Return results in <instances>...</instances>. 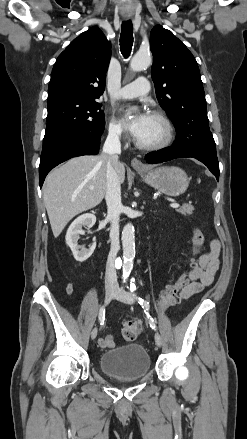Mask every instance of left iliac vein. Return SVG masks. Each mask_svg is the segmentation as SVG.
<instances>
[{"label":"left iliac vein","mask_w":247,"mask_h":439,"mask_svg":"<svg viewBox=\"0 0 247 439\" xmlns=\"http://www.w3.org/2000/svg\"><path fill=\"white\" fill-rule=\"evenodd\" d=\"M114 297L117 300L124 302L126 304H133L135 302L134 297L130 293L126 292L125 290H123L121 288L116 289V293H115ZM155 342H156L157 346H159V347L162 345V338L158 333H155Z\"/></svg>","instance_id":"obj_1"}]
</instances>
